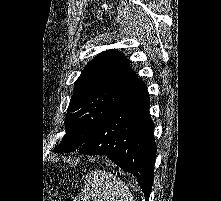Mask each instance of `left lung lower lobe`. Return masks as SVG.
<instances>
[{"label": "left lung lower lobe", "instance_id": "left-lung-lower-lobe-1", "mask_svg": "<svg viewBox=\"0 0 221 201\" xmlns=\"http://www.w3.org/2000/svg\"><path fill=\"white\" fill-rule=\"evenodd\" d=\"M145 85L116 104L79 148V153L105 155L137 177L149 201L153 184L156 144Z\"/></svg>", "mask_w": 221, "mask_h": 201}]
</instances>
